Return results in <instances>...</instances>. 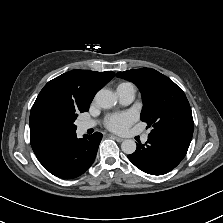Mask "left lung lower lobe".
Instances as JSON below:
<instances>
[{
	"instance_id": "0a47b994",
	"label": "left lung lower lobe",
	"mask_w": 223,
	"mask_h": 223,
	"mask_svg": "<svg viewBox=\"0 0 223 223\" xmlns=\"http://www.w3.org/2000/svg\"><path fill=\"white\" fill-rule=\"evenodd\" d=\"M147 144H137L129 160L140 170L152 175H162L174 169L185 157L188 146L156 136H148Z\"/></svg>"
}]
</instances>
